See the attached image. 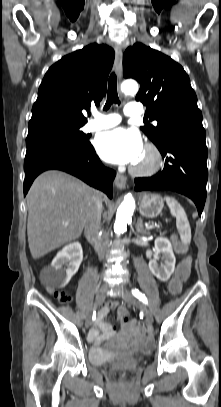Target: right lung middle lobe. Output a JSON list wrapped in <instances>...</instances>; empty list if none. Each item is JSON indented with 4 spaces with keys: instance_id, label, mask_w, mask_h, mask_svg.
I'll list each match as a JSON object with an SVG mask.
<instances>
[{
    "instance_id": "obj_1",
    "label": "right lung middle lobe",
    "mask_w": 221,
    "mask_h": 407,
    "mask_svg": "<svg viewBox=\"0 0 221 407\" xmlns=\"http://www.w3.org/2000/svg\"><path fill=\"white\" fill-rule=\"evenodd\" d=\"M82 126L83 124L54 123L29 128L26 142L38 138H56L86 149L91 146V143L89 142V136L80 131Z\"/></svg>"
}]
</instances>
